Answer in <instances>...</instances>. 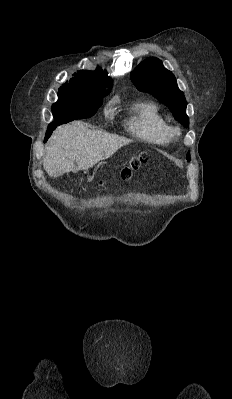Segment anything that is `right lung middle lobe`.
I'll return each mask as SVG.
<instances>
[{
    "instance_id": "dd1d6c3e",
    "label": "right lung middle lobe",
    "mask_w": 232,
    "mask_h": 399,
    "mask_svg": "<svg viewBox=\"0 0 232 399\" xmlns=\"http://www.w3.org/2000/svg\"><path fill=\"white\" fill-rule=\"evenodd\" d=\"M99 94H60L58 101L52 105L53 116L56 119H86L93 116L102 105Z\"/></svg>"
}]
</instances>
